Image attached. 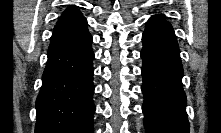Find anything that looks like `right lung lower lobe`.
Here are the masks:
<instances>
[{
    "instance_id": "98d812e1",
    "label": "right lung lower lobe",
    "mask_w": 221,
    "mask_h": 133,
    "mask_svg": "<svg viewBox=\"0 0 221 133\" xmlns=\"http://www.w3.org/2000/svg\"><path fill=\"white\" fill-rule=\"evenodd\" d=\"M92 36L50 43L36 100L35 133H93Z\"/></svg>"
}]
</instances>
